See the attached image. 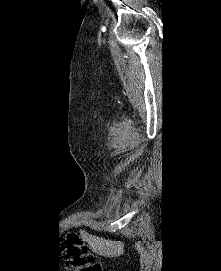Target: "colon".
I'll return each instance as SVG.
<instances>
[{
  "mask_svg": "<svg viewBox=\"0 0 221 271\" xmlns=\"http://www.w3.org/2000/svg\"><path fill=\"white\" fill-rule=\"evenodd\" d=\"M65 256L75 271H102V265L89 253L84 241L74 232H70L61 241Z\"/></svg>",
  "mask_w": 221,
  "mask_h": 271,
  "instance_id": "colon-1",
  "label": "colon"
}]
</instances>
